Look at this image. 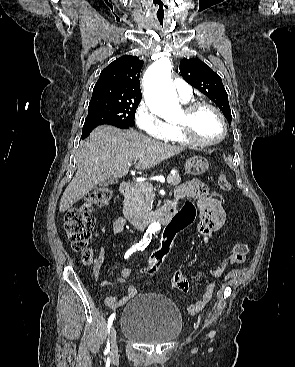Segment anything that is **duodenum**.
Here are the masks:
<instances>
[{
    "instance_id": "410a0bca",
    "label": "duodenum",
    "mask_w": 295,
    "mask_h": 367,
    "mask_svg": "<svg viewBox=\"0 0 295 367\" xmlns=\"http://www.w3.org/2000/svg\"><path fill=\"white\" fill-rule=\"evenodd\" d=\"M132 185L130 181H123L120 184L119 191L122 196L126 197L130 194ZM178 213L177 202H170L165 205L160 211L153 214H141L128 206L123 207L124 217L135 227L143 229L152 222H159L161 224L168 223L169 219H174Z\"/></svg>"
}]
</instances>
